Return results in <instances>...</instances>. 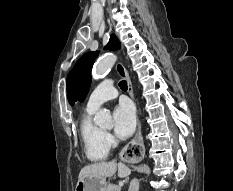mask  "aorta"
Returning a JSON list of instances; mask_svg holds the SVG:
<instances>
[{
	"instance_id": "1",
	"label": "aorta",
	"mask_w": 233,
	"mask_h": 191,
	"mask_svg": "<svg viewBox=\"0 0 233 191\" xmlns=\"http://www.w3.org/2000/svg\"><path fill=\"white\" fill-rule=\"evenodd\" d=\"M117 56L108 54L101 58L93 67V77L99 78L107 73L114 65ZM95 123L101 127L111 128L113 126L110 113L106 109H101L95 115Z\"/></svg>"
}]
</instances>
